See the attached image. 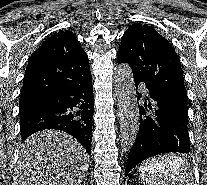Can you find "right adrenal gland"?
Here are the masks:
<instances>
[{"label": "right adrenal gland", "mask_w": 207, "mask_h": 185, "mask_svg": "<svg viewBox=\"0 0 207 185\" xmlns=\"http://www.w3.org/2000/svg\"><path fill=\"white\" fill-rule=\"evenodd\" d=\"M82 185H87V179H84Z\"/></svg>", "instance_id": "2a0ac1e0"}]
</instances>
